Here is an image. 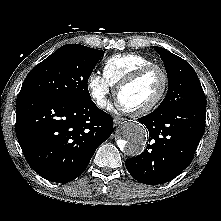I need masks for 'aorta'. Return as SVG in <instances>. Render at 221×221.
Wrapping results in <instances>:
<instances>
[{
  "label": "aorta",
  "mask_w": 221,
  "mask_h": 221,
  "mask_svg": "<svg viewBox=\"0 0 221 221\" xmlns=\"http://www.w3.org/2000/svg\"><path fill=\"white\" fill-rule=\"evenodd\" d=\"M124 139L119 140L120 149L128 156L139 155L145 147L147 132L143 125L127 122L122 126Z\"/></svg>",
  "instance_id": "aorta-1"
}]
</instances>
